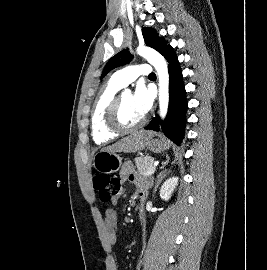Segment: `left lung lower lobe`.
<instances>
[{
    "label": "left lung lower lobe",
    "instance_id": "obj_1",
    "mask_svg": "<svg viewBox=\"0 0 267 270\" xmlns=\"http://www.w3.org/2000/svg\"><path fill=\"white\" fill-rule=\"evenodd\" d=\"M164 57L169 63L168 71L170 75L168 113L164 121L157 115L144 129L160 131L159 126H161L165 136L180 146L184 138L186 125V91L183 84L182 71L174 49L170 47Z\"/></svg>",
    "mask_w": 267,
    "mask_h": 270
}]
</instances>
